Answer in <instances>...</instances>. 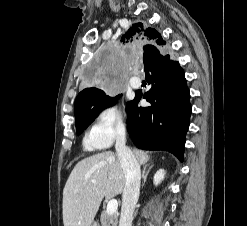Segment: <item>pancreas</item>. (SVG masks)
<instances>
[{
  "label": "pancreas",
  "mask_w": 247,
  "mask_h": 226,
  "mask_svg": "<svg viewBox=\"0 0 247 226\" xmlns=\"http://www.w3.org/2000/svg\"><path fill=\"white\" fill-rule=\"evenodd\" d=\"M102 226H117L118 224V213L108 214L103 211L100 216Z\"/></svg>",
  "instance_id": "cf45deb5"
}]
</instances>
